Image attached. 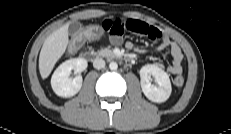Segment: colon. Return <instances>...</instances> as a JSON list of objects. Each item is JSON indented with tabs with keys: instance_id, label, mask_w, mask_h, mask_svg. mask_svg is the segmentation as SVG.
Segmentation results:
<instances>
[{
	"instance_id": "5ec220e1",
	"label": "colon",
	"mask_w": 231,
	"mask_h": 134,
	"mask_svg": "<svg viewBox=\"0 0 231 134\" xmlns=\"http://www.w3.org/2000/svg\"><path fill=\"white\" fill-rule=\"evenodd\" d=\"M104 34V30L100 25H91L81 29L70 41L68 50L71 53L76 52L79 47L88 39H95ZM174 84L181 87L184 84V78L177 76L174 79Z\"/></svg>"
}]
</instances>
